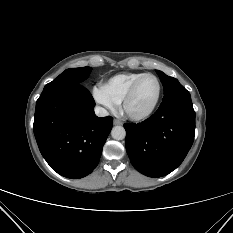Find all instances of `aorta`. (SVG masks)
Listing matches in <instances>:
<instances>
[{
  "label": "aorta",
  "mask_w": 233,
  "mask_h": 233,
  "mask_svg": "<svg viewBox=\"0 0 233 233\" xmlns=\"http://www.w3.org/2000/svg\"><path fill=\"white\" fill-rule=\"evenodd\" d=\"M111 135L115 140H123L126 136V131L122 126H115L112 128Z\"/></svg>",
  "instance_id": "aorta-1"
}]
</instances>
